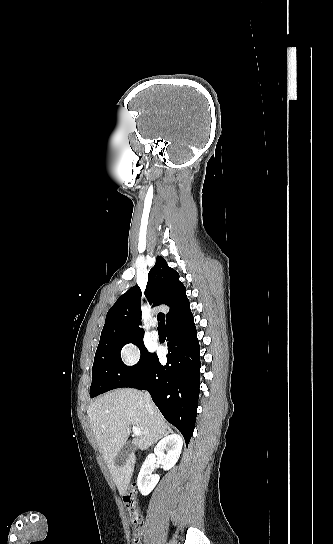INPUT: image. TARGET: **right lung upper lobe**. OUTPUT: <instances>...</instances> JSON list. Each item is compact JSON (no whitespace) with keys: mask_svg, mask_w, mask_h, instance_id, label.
Listing matches in <instances>:
<instances>
[{"mask_svg":"<svg viewBox=\"0 0 333 544\" xmlns=\"http://www.w3.org/2000/svg\"><path fill=\"white\" fill-rule=\"evenodd\" d=\"M145 296L153 306H169L167 324L191 312L186 288L179 281V274L161 256L157 257L155 265L149 271ZM141 324V290L136 285L121 295L108 311L100 340L118 336L141 337L144 335Z\"/></svg>","mask_w":333,"mask_h":544,"instance_id":"cb5924a9","label":"right lung upper lobe"}]
</instances>
